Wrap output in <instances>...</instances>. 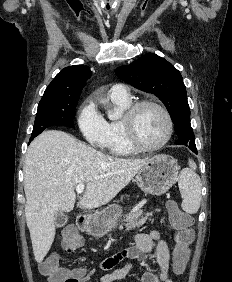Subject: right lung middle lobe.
<instances>
[{
  "label": "right lung middle lobe",
  "mask_w": 232,
  "mask_h": 282,
  "mask_svg": "<svg viewBox=\"0 0 232 282\" xmlns=\"http://www.w3.org/2000/svg\"><path fill=\"white\" fill-rule=\"evenodd\" d=\"M79 97V94L65 97H42L30 141L50 126L74 127L73 119Z\"/></svg>",
  "instance_id": "obj_1"
}]
</instances>
